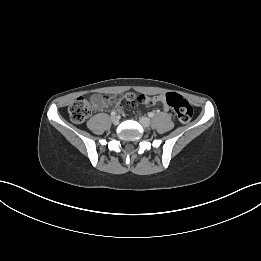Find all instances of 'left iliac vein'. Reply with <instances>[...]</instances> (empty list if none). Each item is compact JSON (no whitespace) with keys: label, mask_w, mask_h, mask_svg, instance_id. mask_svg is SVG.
Returning a JSON list of instances; mask_svg holds the SVG:
<instances>
[{"label":"left iliac vein","mask_w":261,"mask_h":261,"mask_svg":"<svg viewBox=\"0 0 261 261\" xmlns=\"http://www.w3.org/2000/svg\"><path fill=\"white\" fill-rule=\"evenodd\" d=\"M139 122L144 128H148L151 125V120L148 117H141Z\"/></svg>","instance_id":"4c4485c4"}]
</instances>
